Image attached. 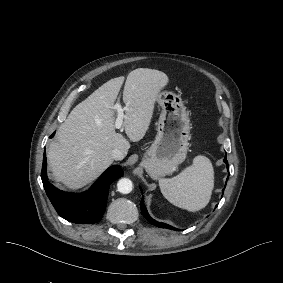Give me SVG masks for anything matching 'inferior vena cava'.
<instances>
[{
  "mask_svg": "<svg viewBox=\"0 0 283 283\" xmlns=\"http://www.w3.org/2000/svg\"><path fill=\"white\" fill-rule=\"evenodd\" d=\"M111 155L114 160H122L125 157V154L119 149L112 150Z\"/></svg>",
  "mask_w": 283,
  "mask_h": 283,
  "instance_id": "602c4592",
  "label": "inferior vena cava"
}]
</instances>
